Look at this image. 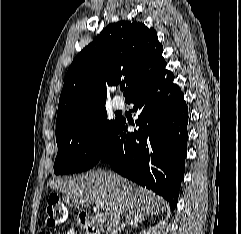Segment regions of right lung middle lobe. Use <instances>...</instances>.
Wrapping results in <instances>:
<instances>
[{
    "mask_svg": "<svg viewBox=\"0 0 241 234\" xmlns=\"http://www.w3.org/2000/svg\"><path fill=\"white\" fill-rule=\"evenodd\" d=\"M118 121L119 118L108 120L105 107H101L86 119L56 131L58 154L54 173H77L95 166L107 149Z\"/></svg>",
    "mask_w": 241,
    "mask_h": 234,
    "instance_id": "obj_1",
    "label": "right lung middle lobe"
}]
</instances>
